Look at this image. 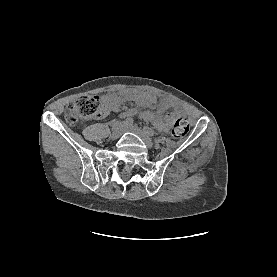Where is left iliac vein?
<instances>
[{"instance_id": "4c4485c4", "label": "left iliac vein", "mask_w": 277, "mask_h": 277, "mask_svg": "<svg viewBox=\"0 0 277 277\" xmlns=\"http://www.w3.org/2000/svg\"><path fill=\"white\" fill-rule=\"evenodd\" d=\"M124 131L134 133L137 136H139L149 149L153 147V142L150 139V137L142 129H140L136 125H125L124 126Z\"/></svg>"}]
</instances>
